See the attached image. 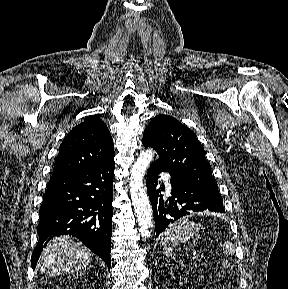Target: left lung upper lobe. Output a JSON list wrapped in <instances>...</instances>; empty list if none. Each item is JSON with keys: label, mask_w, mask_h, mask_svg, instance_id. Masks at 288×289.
I'll return each instance as SVG.
<instances>
[{"label": "left lung upper lobe", "mask_w": 288, "mask_h": 289, "mask_svg": "<svg viewBox=\"0 0 288 289\" xmlns=\"http://www.w3.org/2000/svg\"><path fill=\"white\" fill-rule=\"evenodd\" d=\"M143 145L157 152L159 158L155 163L172 178L221 196L203 146L194 132L175 118H153L145 129Z\"/></svg>", "instance_id": "5c2ea615"}]
</instances>
